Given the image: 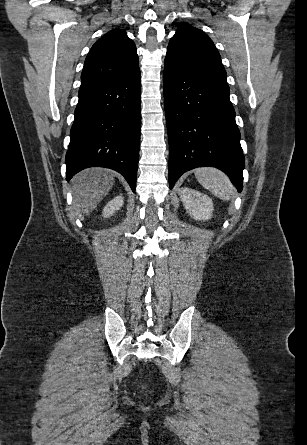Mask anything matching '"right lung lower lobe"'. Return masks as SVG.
<instances>
[{
  "mask_svg": "<svg viewBox=\"0 0 307 445\" xmlns=\"http://www.w3.org/2000/svg\"><path fill=\"white\" fill-rule=\"evenodd\" d=\"M139 66L127 74L81 86L66 154V180L100 166L121 173L135 192L141 129Z\"/></svg>",
  "mask_w": 307,
  "mask_h": 445,
  "instance_id": "obj_1",
  "label": "right lung lower lobe"
}]
</instances>
